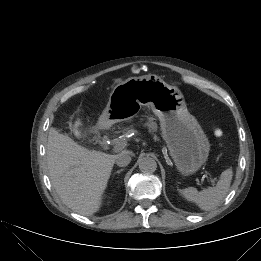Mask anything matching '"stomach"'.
Listing matches in <instances>:
<instances>
[{"label":"stomach","instance_id":"0dacf381","mask_svg":"<svg viewBox=\"0 0 261 261\" xmlns=\"http://www.w3.org/2000/svg\"><path fill=\"white\" fill-rule=\"evenodd\" d=\"M148 107L159 119L162 137L182 176L196 173L207 161L210 142L187 109L181 91L154 74L130 77L116 85L99 124L111 125L137 116Z\"/></svg>","mask_w":261,"mask_h":261}]
</instances>
